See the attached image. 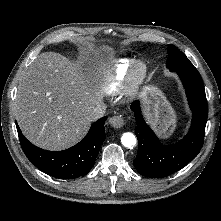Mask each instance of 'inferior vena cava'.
I'll return each instance as SVG.
<instances>
[{
    "label": "inferior vena cava",
    "mask_w": 221,
    "mask_h": 221,
    "mask_svg": "<svg viewBox=\"0 0 221 221\" xmlns=\"http://www.w3.org/2000/svg\"><path fill=\"white\" fill-rule=\"evenodd\" d=\"M106 105L104 103L98 104L93 111L91 112V116L94 120H97L104 116L106 112Z\"/></svg>",
    "instance_id": "602c4592"
}]
</instances>
